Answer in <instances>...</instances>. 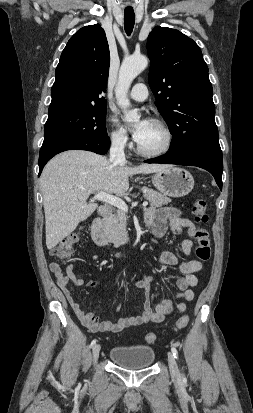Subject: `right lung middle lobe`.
Masks as SVG:
<instances>
[{"mask_svg":"<svg viewBox=\"0 0 253 413\" xmlns=\"http://www.w3.org/2000/svg\"><path fill=\"white\" fill-rule=\"evenodd\" d=\"M106 107L72 109L48 115L42 146L69 139L84 141L107 137Z\"/></svg>","mask_w":253,"mask_h":413,"instance_id":"1","label":"right lung middle lobe"}]
</instances>
